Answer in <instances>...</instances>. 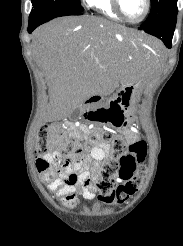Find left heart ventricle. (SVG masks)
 Listing matches in <instances>:
<instances>
[{"mask_svg":"<svg viewBox=\"0 0 183 246\" xmlns=\"http://www.w3.org/2000/svg\"><path fill=\"white\" fill-rule=\"evenodd\" d=\"M122 8L124 13L130 19H138L145 10L144 0H122Z\"/></svg>","mask_w":183,"mask_h":246,"instance_id":"obj_1","label":"left heart ventricle"}]
</instances>
